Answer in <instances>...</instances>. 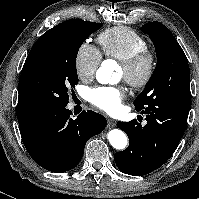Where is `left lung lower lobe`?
<instances>
[{"instance_id":"left-lung-lower-lobe-1","label":"left lung lower lobe","mask_w":199,"mask_h":199,"mask_svg":"<svg viewBox=\"0 0 199 199\" xmlns=\"http://www.w3.org/2000/svg\"><path fill=\"white\" fill-rule=\"evenodd\" d=\"M189 109L159 104L146 113L145 126L136 120L118 122V127L129 137V146L114 154L117 167L133 176H143L161 167L174 153L184 134Z\"/></svg>"}]
</instances>
